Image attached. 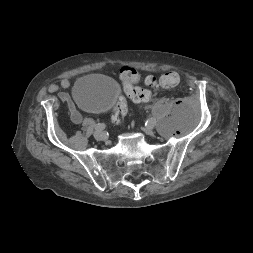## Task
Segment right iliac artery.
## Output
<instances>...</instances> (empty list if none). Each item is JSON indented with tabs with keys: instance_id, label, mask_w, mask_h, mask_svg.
I'll use <instances>...</instances> for the list:
<instances>
[{
	"instance_id": "obj_1",
	"label": "right iliac artery",
	"mask_w": 253,
	"mask_h": 253,
	"mask_svg": "<svg viewBox=\"0 0 253 253\" xmlns=\"http://www.w3.org/2000/svg\"><path fill=\"white\" fill-rule=\"evenodd\" d=\"M105 128V124L104 123H98V124H96V126H95V130L96 131H101V130H103Z\"/></svg>"
}]
</instances>
